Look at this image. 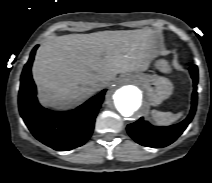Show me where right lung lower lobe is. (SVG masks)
Instances as JSON below:
<instances>
[{
    "mask_svg": "<svg viewBox=\"0 0 212 183\" xmlns=\"http://www.w3.org/2000/svg\"><path fill=\"white\" fill-rule=\"evenodd\" d=\"M37 48L38 45L32 50L21 75L18 98L20 114L34 137L43 144L58 151L79 147L93 132L95 118L106 90L72 111L55 112L43 108L37 101L36 87L31 76Z\"/></svg>",
    "mask_w": 212,
    "mask_h": 183,
    "instance_id": "obj_1",
    "label": "right lung lower lobe"
}]
</instances>
